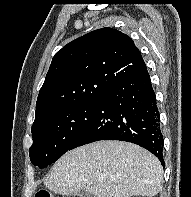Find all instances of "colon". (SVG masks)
I'll list each match as a JSON object with an SVG mask.
<instances>
[{"instance_id": "colon-1", "label": "colon", "mask_w": 191, "mask_h": 197, "mask_svg": "<svg viewBox=\"0 0 191 197\" xmlns=\"http://www.w3.org/2000/svg\"><path fill=\"white\" fill-rule=\"evenodd\" d=\"M35 197H56L47 190H40L36 193Z\"/></svg>"}]
</instances>
